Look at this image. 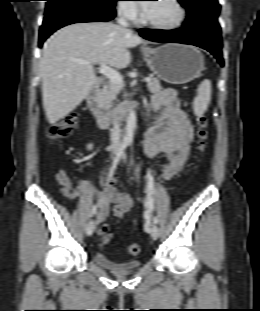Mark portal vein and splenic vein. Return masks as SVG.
I'll return each instance as SVG.
<instances>
[{
  "label": "portal vein and splenic vein",
  "mask_w": 260,
  "mask_h": 311,
  "mask_svg": "<svg viewBox=\"0 0 260 311\" xmlns=\"http://www.w3.org/2000/svg\"><path fill=\"white\" fill-rule=\"evenodd\" d=\"M73 61L76 63H79V64H90V62H88L86 60H82V59H74ZM99 73H101L102 75L109 78L110 81H112L113 83H115L119 86H122L123 78H122L121 74L119 72H117L116 70L107 66L105 63L101 64V66L99 68ZM145 81L147 83H149L151 81V79L149 77H146Z\"/></svg>",
  "instance_id": "1"
}]
</instances>
